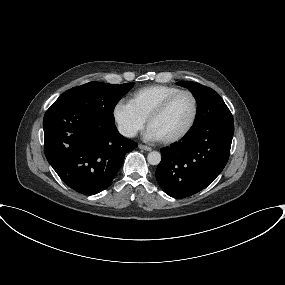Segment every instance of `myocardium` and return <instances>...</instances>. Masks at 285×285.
Returning <instances> with one entry per match:
<instances>
[{
    "label": "myocardium",
    "instance_id": "f54148a6",
    "mask_svg": "<svg viewBox=\"0 0 285 285\" xmlns=\"http://www.w3.org/2000/svg\"><path fill=\"white\" fill-rule=\"evenodd\" d=\"M183 94H187L189 95L192 100H193V104H194V109H193V115L192 118L189 122V124L186 126V128L180 132L179 134L167 138V139H163V140H159L162 144L164 145H171L174 143L179 142L180 140H182L183 138H185L193 129V127L196 124L197 118H198V114H199V102L198 99L196 97V95L190 91V90H179L177 92H175L174 94L170 95L169 97H167L162 103H160L148 116V118L146 119V126L149 129L150 124L157 119L158 117H160L167 109L168 107L171 105V103L180 95Z\"/></svg>",
    "mask_w": 285,
    "mask_h": 285
}]
</instances>
